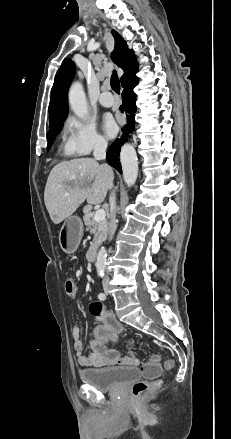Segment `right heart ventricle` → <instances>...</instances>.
<instances>
[{"label": "right heart ventricle", "mask_w": 231, "mask_h": 439, "mask_svg": "<svg viewBox=\"0 0 231 439\" xmlns=\"http://www.w3.org/2000/svg\"><path fill=\"white\" fill-rule=\"evenodd\" d=\"M61 148H62V151H63L64 154H66V155H72V153L70 152V150H69V148H68L67 140L64 141V142L62 143Z\"/></svg>", "instance_id": "right-heart-ventricle-1"}]
</instances>
